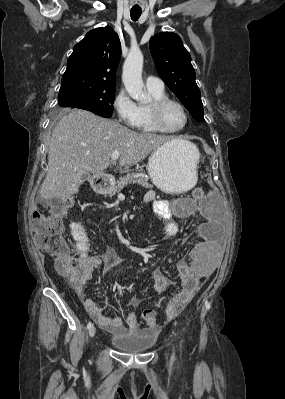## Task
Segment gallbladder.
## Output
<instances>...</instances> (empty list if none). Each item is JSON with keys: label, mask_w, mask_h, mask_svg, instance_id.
<instances>
[{"label": "gallbladder", "mask_w": 285, "mask_h": 399, "mask_svg": "<svg viewBox=\"0 0 285 399\" xmlns=\"http://www.w3.org/2000/svg\"><path fill=\"white\" fill-rule=\"evenodd\" d=\"M89 179H90V175H89V174L83 175V176L81 177V183L84 182L85 180H89Z\"/></svg>", "instance_id": "obj_1"}]
</instances>
